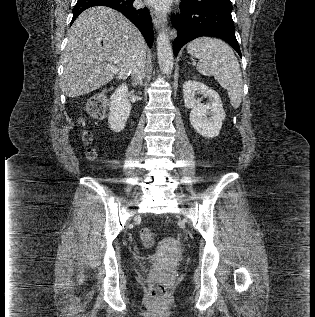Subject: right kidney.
Instances as JSON below:
<instances>
[{
  "instance_id": "ca27d5eb",
  "label": "right kidney",
  "mask_w": 315,
  "mask_h": 317,
  "mask_svg": "<svg viewBox=\"0 0 315 317\" xmlns=\"http://www.w3.org/2000/svg\"><path fill=\"white\" fill-rule=\"evenodd\" d=\"M128 87L120 85L110 97L108 124L112 131L121 132L131 112V103L128 100Z\"/></svg>"
}]
</instances>
